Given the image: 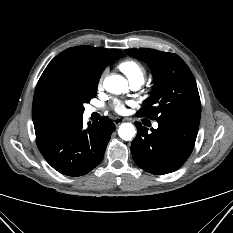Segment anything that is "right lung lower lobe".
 <instances>
[{
    "label": "right lung lower lobe",
    "instance_id": "98d812e1",
    "mask_svg": "<svg viewBox=\"0 0 233 233\" xmlns=\"http://www.w3.org/2000/svg\"><path fill=\"white\" fill-rule=\"evenodd\" d=\"M114 123L108 117L83 129L82 117L73 118L53 130L36 136L37 146L46 161L68 176L87 174L103 159Z\"/></svg>",
    "mask_w": 233,
    "mask_h": 233
}]
</instances>
